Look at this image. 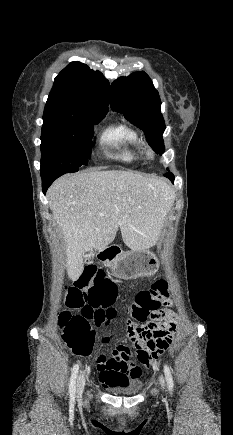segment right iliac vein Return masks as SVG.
I'll return each mask as SVG.
<instances>
[{
    "label": "right iliac vein",
    "mask_w": 233,
    "mask_h": 435,
    "mask_svg": "<svg viewBox=\"0 0 233 435\" xmlns=\"http://www.w3.org/2000/svg\"><path fill=\"white\" fill-rule=\"evenodd\" d=\"M84 386H85V378L83 374H80L77 378V383H76V395L77 398H80L83 390H84Z\"/></svg>",
    "instance_id": "right-iliac-vein-1"
}]
</instances>
